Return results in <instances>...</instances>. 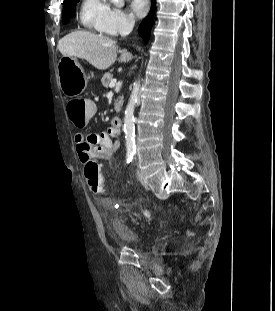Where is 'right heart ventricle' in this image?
I'll return each instance as SVG.
<instances>
[{"instance_id":"obj_1","label":"right heart ventricle","mask_w":275,"mask_h":311,"mask_svg":"<svg viewBox=\"0 0 275 311\" xmlns=\"http://www.w3.org/2000/svg\"><path fill=\"white\" fill-rule=\"evenodd\" d=\"M106 0H83L79 9L80 24L91 32L103 34V20L109 11Z\"/></svg>"}]
</instances>
